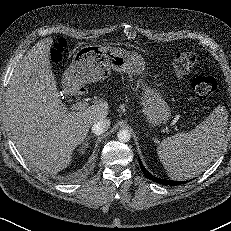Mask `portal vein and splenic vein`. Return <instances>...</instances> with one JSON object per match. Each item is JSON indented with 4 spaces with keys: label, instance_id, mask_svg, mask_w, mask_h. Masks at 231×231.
I'll list each match as a JSON object with an SVG mask.
<instances>
[{
    "label": "portal vein and splenic vein",
    "instance_id": "portal-vein-and-splenic-vein-1",
    "mask_svg": "<svg viewBox=\"0 0 231 231\" xmlns=\"http://www.w3.org/2000/svg\"><path fill=\"white\" fill-rule=\"evenodd\" d=\"M89 107V104L88 103H86V102H77V103H75L74 105H73V108L74 109H76V110H80V111H82V110H85V109H87Z\"/></svg>",
    "mask_w": 231,
    "mask_h": 231
}]
</instances>
